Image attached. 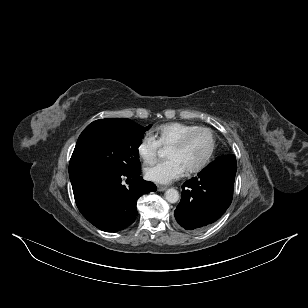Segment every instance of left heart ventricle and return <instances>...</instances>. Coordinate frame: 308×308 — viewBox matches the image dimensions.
<instances>
[{"label":"left heart ventricle","instance_id":"left-heart-ventricle-1","mask_svg":"<svg viewBox=\"0 0 308 308\" xmlns=\"http://www.w3.org/2000/svg\"><path fill=\"white\" fill-rule=\"evenodd\" d=\"M211 147V137L207 132L195 134L181 149L168 148L167 158H175L180 161L185 170L200 164L207 156Z\"/></svg>","mask_w":308,"mask_h":308}]
</instances>
